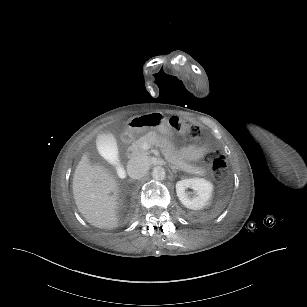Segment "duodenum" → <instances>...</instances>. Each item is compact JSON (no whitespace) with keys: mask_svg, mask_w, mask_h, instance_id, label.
<instances>
[{"mask_svg":"<svg viewBox=\"0 0 307 307\" xmlns=\"http://www.w3.org/2000/svg\"><path fill=\"white\" fill-rule=\"evenodd\" d=\"M128 140H129V138L126 136L125 138H124V142H128Z\"/></svg>","mask_w":307,"mask_h":307,"instance_id":"obj_1","label":"duodenum"}]
</instances>
